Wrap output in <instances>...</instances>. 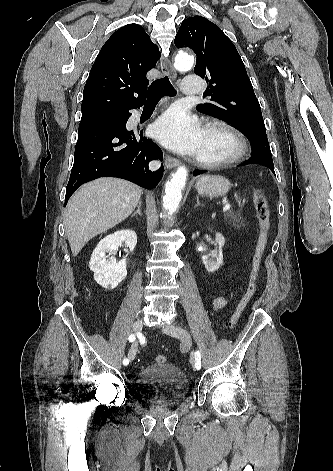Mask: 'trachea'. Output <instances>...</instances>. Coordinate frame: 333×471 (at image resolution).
I'll use <instances>...</instances> for the list:
<instances>
[{
    "label": "trachea",
    "instance_id": "1",
    "mask_svg": "<svg viewBox=\"0 0 333 471\" xmlns=\"http://www.w3.org/2000/svg\"><path fill=\"white\" fill-rule=\"evenodd\" d=\"M176 90L167 76L155 80L148 91L147 102H158L163 96H175Z\"/></svg>",
    "mask_w": 333,
    "mask_h": 471
}]
</instances>
